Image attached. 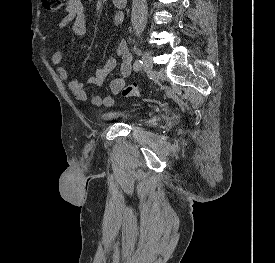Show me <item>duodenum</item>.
I'll list each match as a JSON object with an SVG mask.
<instances>
[{"mask_svg":"<svg viewBox=\"0 0 275 263\" xmlns=\"http://www.w3.org/2000/svg\"><path fill=\"white\" fill-rule=\"evenodd\" d=\"M114 5L119 7V8H123L127 5V1L128 0H112Z\"/></svg>","mask_w":275,"mask_h":263,"instance_id":"duodenum-1","label":"duodenum"}]
</instances>
